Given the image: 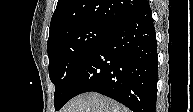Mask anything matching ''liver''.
<instances>
[{
	"mask_svg": "<svg viewBox=\"0 0 193 112\" xmlns=\"http://www.w3.org/2000/svg\"><path fill=\"white\" fill-rule=\"evenodd\" d=\"M62 112H129V110L108 97L89 92L71 99L63 107Z\"/></svg>",
	"mask_w": 193,
	"mask_h": 112,
	"instance_id": "1",
	"label": "liver"
}]
</instances>
